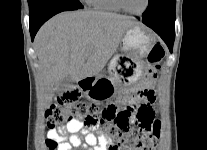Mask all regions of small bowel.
Wrapping results in <instances>:
<instances>
[{"instance_id": "c3829d8e", "label": "small bowel", "mask_w": 207, "mask_h": 150, "mask_svg": "<svg viewBox=\"0 0 207 150\" xmlns=\"http://www.w3.org/2000/svg\"><path fill=\"white\" fill-rule=\"evenodd\" d=\"M146 86L149 87L150 82H146ZM124 99L133 98L125 96ZM47 138L58 142V150H108L114 142L106 130L92 132L77 118L71 119L65 126L50 129Z\"/></svg>"}]
</instances>
